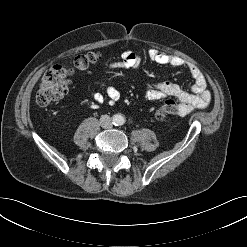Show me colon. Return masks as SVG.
<instances>
[{"label":"colon","instance_id":"1","mask_svg":"<svg viewBox=\"0 0 247 247\" xmlns=\"http://www.w3.org/2000/svg\"><path fill=\"white\" fill-rule=\"evenodd\" d=\"M98 54L89 52L78 55L74 60L77 70L87 72L98 62ZM72 70L63 66H54L49 69L42 78L39 89L36 93V103L41 107H46L64 98L69 90L68 75ZM179 112V104L175 99H167L155 112L158 120H163Z\"/></svg>","mask_w":247,"mask_h":247}]
</instances>
